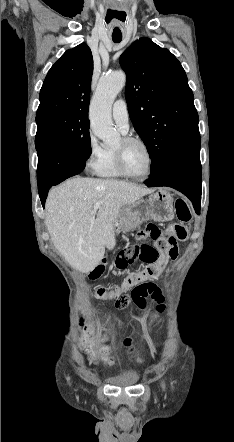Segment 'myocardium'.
<instances>
[{"label":"myocardium","mask_w":234,"mask_h":442,"mask_svg":"<svg viewBox=\"0 0 234 442\" xmlns=\"http://www.w3.org/2000/svg\"><path fill=\"white\" fill-rule=\"evenodd\" d=\"M121 141H122V146L114 149L115 163H116V167H117L118 171L122 174V176H125L130 179H134V180L142 181V180L149 178L152 173V169H153V154H152V151H151L149 145L144 140H142L138 137H133V136H125L121 139ZM133 143L141 145L147 154L148 166H147V171L143 175H134V174L130 173L127 170L126 165H125L124 147L126 145L133 144Z\"/></svg>","instance_id":"obj_1"}]
</instances>
